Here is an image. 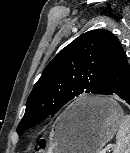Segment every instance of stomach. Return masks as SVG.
Listing matches in <instances>:
<instances>
[{
	"instance_id": "1",
	"label": "stomach",
	"mask_w": 130,
	"mask_h": 153,
	"mask_svg": "<svg viewBox=\"0 0 130 153\" xmlns=\"http://www.w3.org/2000/svg\"><path fill=\"white\" fill-rule=\"evenodd\" d=\"M81 109L85 112L76 114ZM123 116L120 106L109 97L75 101L52 129V153H100L115 135Z\"/></svg>"
}]
</instances>
